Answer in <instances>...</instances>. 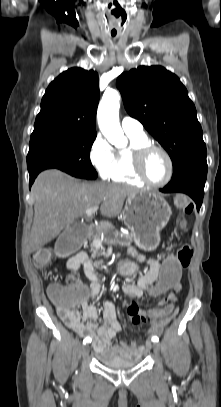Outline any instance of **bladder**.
Listing matches in <instances>:
<instances>
[{
    "label": "bladder",
    "instance_id": "bladder-1",
    "mask_svg": "<svg viewBox=\"0 0 221 407\" xmlns=\"http://www.w3.org/2000/svg\"><path fill=\"white\" fill-rule=\"evenodd\" d=\"M97 360L99 361L100 364H102L103 366L110 368V369L133 368V367H136L137 365H139L141 362L140 358L126 360V359H121V358H109V357L103 356L101 354L97 355Z\"/></svg>",
    "mask_w": 221,
    "mask_h": 407
}]
</instances>
